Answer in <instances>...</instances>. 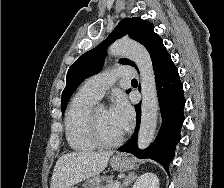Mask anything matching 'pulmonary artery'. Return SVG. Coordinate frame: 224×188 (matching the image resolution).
<instances>
[{
    "mask_svg": "<svg viewBox=\"0 0 224 188\" xmlns=\"http://www.w3.org/2000/svg\"><path fill=\"white\" fill-rule=\"evenodd\" d=\"M135 77L136 70L133 67L111 68L87 80L82 90L99 100L117 79H134Z\"/></svg>",
    "mask_w": 224,
    "mask_h": 188,
    "instance_id": "e3ab8cb5",
    "label": "pulmonary artery"
}]
</instances>
